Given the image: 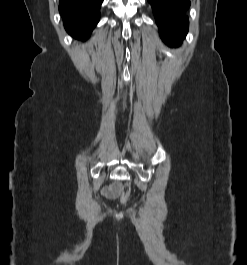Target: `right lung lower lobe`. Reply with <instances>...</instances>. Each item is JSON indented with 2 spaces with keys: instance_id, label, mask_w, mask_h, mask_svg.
<instances>
[{
  "instance_id": "right-lung-lower-lobe-1",
  "label": "right lung lower lobe",
  "mask_w": 247,
  "mask_h": 265,
  "mask_svg": "<svg viewBox=\"0 0 247 265\" xmlns=\"http://www.w3.org/2000/svg\"><path fill=\"white\" fill-rule=\"evenodd\" d=\"M103 0H60L59 11L67 32L75 38L86 39L100 18Z\"/></svg>"
}]
</instances>
